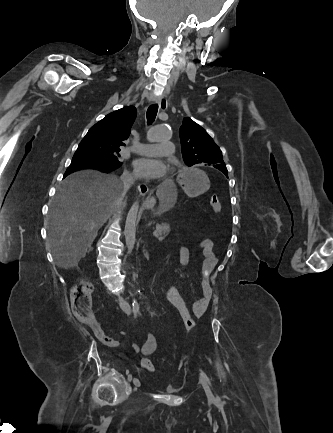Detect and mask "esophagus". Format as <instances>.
Segmentation results:
<instances>
[{
  "mask_svg": "<svg viewBox=\"0 0 333 433\" xmlns=\"http://www.w3.org/2000/svg\"><path fill=\"white\" fill-rule=\"evenodd\" d=\"M159 104L160 111H165L167 109V101L162 97H158L155 100ZM148 185L146 183H140L138 184V191L141 196H145L148 193Z\"/></svg>",
  "mask_w": 333,
  "mask_h": 433,
  "instance_id": "obj_1",
  "label": "esophagus"
}]
</instances>
